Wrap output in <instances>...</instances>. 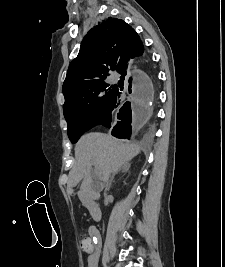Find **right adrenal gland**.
Wrapping results in <instances>:
<instances>
[{
	"label": "right adrenal gland",
	"instance_id": "obj_1",
	"mask_svg": "<svg viewBox=\"0 0 225 267\" xmlns=\"http://www.w3.org/2000/svg\"><path fill=\"white\" fill-rule=\"evenodd\" d=\"M129 168H130V164L129 163H126L118 171L114 172L113 175L110 178V181H109L108 185H107V189H110L111 184H112L113 179H114V177H115L116 174H118L120 172L121 173H127L129 171Z\"/></svg>",
	"mask_w": 225,
	"mask_h": 267
}]
</instances>
